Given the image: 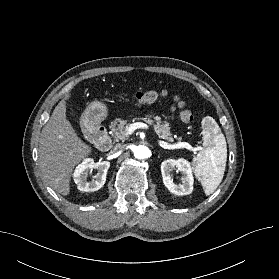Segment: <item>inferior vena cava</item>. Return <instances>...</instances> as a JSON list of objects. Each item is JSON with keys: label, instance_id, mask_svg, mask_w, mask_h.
Wrapping results in <instances>:
<instances>
[{"label": "inferior vena cava", "instance_id": "inferior-vena-cava-1", "mask_svg": "<svg viewBox=\"0 0 279 279\" xmlns=\"http://www.w3.org/2000/svg\"><path fill=\"white\" fill-rule=\"evenodd\" d=\"M122 148H123V145L118 143L114 146V148L112 149V152L116 153V152L120 151Z\"/></svg>", "mask_w": 279, "mask_h": 279}]
</instances>
